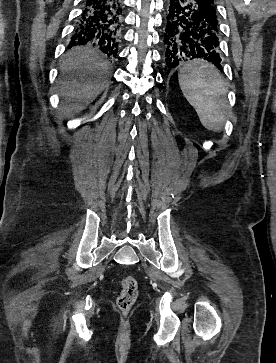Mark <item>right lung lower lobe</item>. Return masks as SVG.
Returning a JSON list of instances; mask_svg holds the SVG:
<instances>
[{"instance_id": "1", "label": "right lung lower lobe", "mask_w": 276, "mask_h": 363, "mask_svg": "<svg viewBox=\"0 0 276 363\" xmlns=\"http://www.w3.org/2000/svg\"><path fill=\"white\" fill-rule=\"evenodd\" d=\"M122 30V0H84L69 48L92 44L107 56L116 57Z\"/></svg>"}]
</instances>
